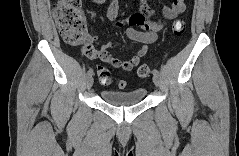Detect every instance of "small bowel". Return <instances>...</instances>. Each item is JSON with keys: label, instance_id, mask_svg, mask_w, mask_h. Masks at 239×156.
Segmentation results:
<instances>
[{"label": "small bowel", "instance_id": "obj_1", "mask_svg": "<svg viewBox=\"0 0 239 156\" xmlns=\"http://www.w3.org/2000/svg\"><path fill=\"white\" fill-rule=\"evenodd\" d=\"M100 5L106 6L107 18L114 22L117 17L118 3L111 1L109 3L104 0H98ZM186 9L184 0H174L171 6H165L161 10V16L157 17L155 11L146 3L142 2L139 7V13L130 16L126 22L128 27L126 35L130 40L139 42L142 47L137 50L129 59L115 58L109 52L115 45L112 40H107L101 44H95L93 39H89L88 43L83 46L84 53L92 59H100L116 68H121L125 71L133 70L139 63L140 59L146 54L148 45L152 44L157 39V34L166 25V20L177 18ZM118 27L123 25L122 21L116 23ZM139 26L142 29L138 30L135 27Z\"/></svg>", "mask_w": 239, "mask_h": 156}]
</instances>
